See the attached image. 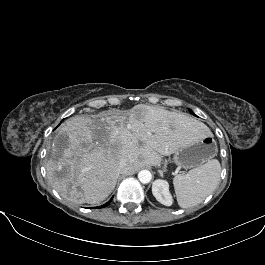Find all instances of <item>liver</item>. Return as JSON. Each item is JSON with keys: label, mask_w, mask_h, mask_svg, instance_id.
I'll return each mask as SVG.
<instances>
[{"label": "liver", "mask_w": 265, "mask_h": 265, "mask_svg": "<svg viewBox=\"0 0 265 265\" xmlns=\"http://www.w3.org/2000/svg\"><path fill=\"white\" fill-rule=\"evenodd\" d=\"M210 135L209 128L187 115L139 104L129 112L109 110L73 116L62 123L46 164L52 187L76 204H98L114 190L126 161L125 173L173 154L183 143ZM64 146L58 149L60 142Z\"/></svg>", "instance_id": "6515ba94"}]
</instances>
